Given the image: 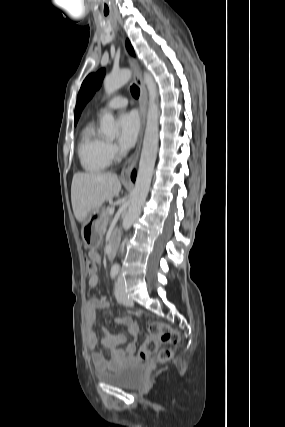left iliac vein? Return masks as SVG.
Returning <instances> with one entry per match:
<instances>
[{
	"label": "left iliac vein",
	"instance_id": "left-iliac-vein-1",
	"mask_svg": "<svg viewBox=\"0 0 285 427\" xmlns=\"http://www.w3.org/2000/svg\"><path fill=\"white\" fill-rule=\"evenodd\" d=\"M115 296L117 301L125 306H131L133 304V301L127 296L125 284L121 277H119L117 281Z\"/></svg>",
	"mask_w": 285,
	"mask_h": 427
}]
</instances>
